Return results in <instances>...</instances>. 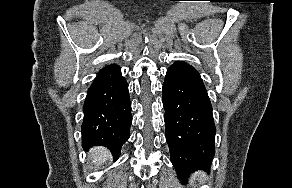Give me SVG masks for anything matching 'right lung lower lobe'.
Here are the masks:
<instances>
[{
  "mask_svg": "<svg viewBox=\"0 0 292 188\" xmlns=\"http://www.w3.org/2000/svg\"><path fill=\"white\" fill-rule=\"evenodd\" d=\"M83 112V147L105 146L117 159L132 123L128 85L119 66L107 65L98 72L87 91Z\"/></svg>",
  "mask_w": 292,
  "mask_h": 188,
  "instance_id": "98d812e1",
  "label": "right lung lower lobe"
}]
</instances>
